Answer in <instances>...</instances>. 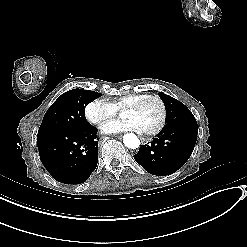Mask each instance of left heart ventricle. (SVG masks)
I'll use <instances>...</instances> for the list:
<instances>
[{
  "label": "left heart ventricle",
  "instance_id": "obj_1",
  "mask_svg": "<svg viewBox=\"0 0 247 247\" xmlns=\"http://www.w3.org/2000/svg\"><path fill=\"white\" fill-rule=\"evenodd\" d=\"M161 105L154 99L146 100L137 110H126L123 115L126 118H135L141 126V129L151 131L155 129L161 119Z\"/></svg>",
  "mask_w": 247,
  "mask_h": 247
}]
</instances>
